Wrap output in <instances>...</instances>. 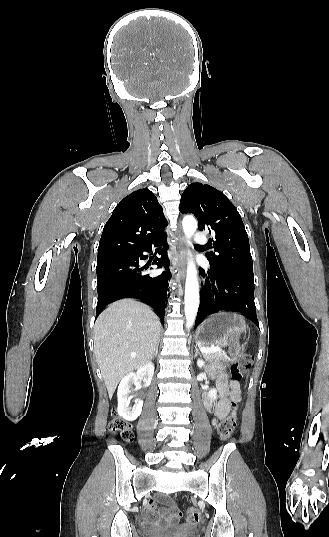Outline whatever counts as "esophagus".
Masks as SVG:
<instances>
[{
  "mask_svg": "<svg viewBox=\"0 0 329 537\" xmlns=\"http://www.w3.org/2000/svg\"><path fill=\"white\" fill-rule=\"evenodd\" d=\"M178 255L172 264L178 268V275L185 276V238L182 231L177 232Z\"/></svg>",
  "mask_w": 329,
  "mask_h": 537,
  "instance_id": "obj_1",
  "label": "esophagus"
}]
</instances>
